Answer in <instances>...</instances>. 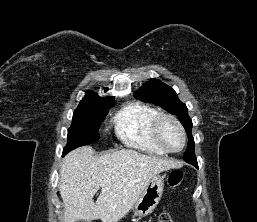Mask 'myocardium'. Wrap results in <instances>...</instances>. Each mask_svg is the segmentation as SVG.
<instances>
[{
	"instance_id": "obj_1",
	"label": "myocardium",
	"mask_w": 257,
	"mask_h": 222,
	"mask_svg": "<svg viewBox=\"0 0 257 222\" xmlns=\"http://www.w3.org/2000/svg\"><path fill=\"white\" fill-rule=\"evenodd\" d=\"M164 120H169V121L173 122L181 132L183 143H182V146L177 150L169 149L165 145V143L163 142V140L160 136V125H161L162 121H164ZM152 134H153V138L156 141V143L167 153H178V152L182 151L186 146L187 134H186L185 128L183 127L182 123L178 120V118L172 114L159 113L153 121Z\"/></svg>"
}]
</instances>
